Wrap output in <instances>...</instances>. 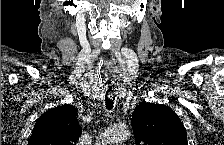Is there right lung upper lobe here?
I'll return each mask as SVG.
<instances>
[{
  "instance_id": "right-lung-upper-lobe-1",
  "label": "right lung upper lobe",
  "mask_w": 224,
  "mask_h": 145,
  "mask_svg": "<svg viewBox=\"0 0 224 145\" xmlns=\"http://www.w3.org/2000/svg\"><path fill=\"white\" fill-rule=\"evenodd\" d=\"M77 110L65 104L48 110L37 120L29 145H73L81 136Z\"/></svg>"
}]
</instances>
